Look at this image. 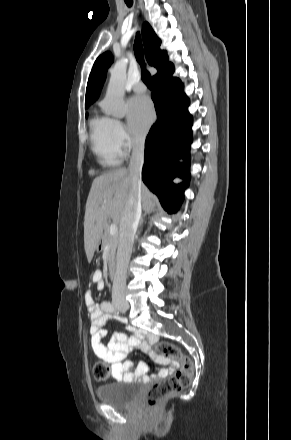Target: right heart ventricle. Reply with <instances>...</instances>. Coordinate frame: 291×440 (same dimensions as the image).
I'll return each instance as SVG.
<instances>
[{
  "instance_id": "right-heart-ventricle-1",
  "label": "right heart ventricle",
  "mask_w": 291,
  "mask_h": 440,
  "mask_svg": "<svg viewBox=\"0 0 291 440\" xmlns=\"http://www.w3.org/2000/svg\"><path fill=\"white\" fill-rule=\"evenodd\" d=\"M113 121L103 114H95L90 120L92 151L99 164L104 167L119 165L122 157L114 141Z\"/></svg>"
}]
</instances>
